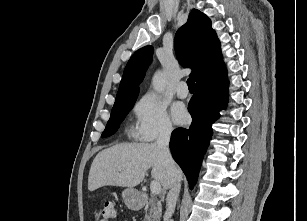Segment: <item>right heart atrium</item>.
I'll return each mask as SVG.
<instances>
[{
	"mask_svg": "<svg viewBox=\"0 0 307 221\" xmlns=\"http://www.w3.org/2000/svg\"><path fill=\"white\" fill-rule=\"evenodd\" d=\"M136 139L151 142L173 133L166 105L154 94L143 95L134 106Z\"/></svg>",
	"mask_w": 307,
	"mask_h": 221,
	"instance_id": "obj_1",
	"label": "right heart atrium"
}]
</instances>
